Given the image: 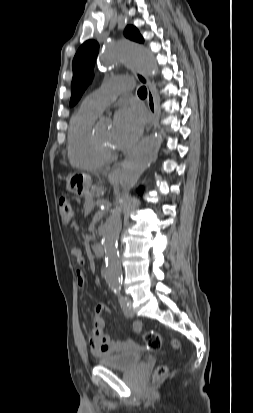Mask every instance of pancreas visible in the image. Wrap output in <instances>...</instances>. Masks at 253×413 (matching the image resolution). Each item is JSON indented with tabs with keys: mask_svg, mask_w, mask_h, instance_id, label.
Returning <instances> with one entry per match:
<instances>
[{
	"mask_svg": "<svg viewBox=\"0 0 253 413\" xmlns=\"http://www.w3.org/2000/svg\"><path fill=\"white\" fill-rule=\"evenodd\" d=\"M101 189L90 192L85 196V208L90 209L93 205V198L100 196Z\"/></svg>",
	"mask_w": 253,
	"mask_h": 413,
	"instance_id": "1",
	"label": "pancreas"
}]
</instances>
